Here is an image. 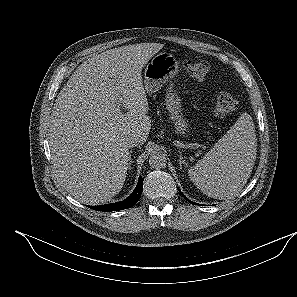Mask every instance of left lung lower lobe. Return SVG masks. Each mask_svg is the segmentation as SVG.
<instances>
[{"label":"left lung lower lobe","instance_id":"left-lung-lower-lobe-1","mask_svg":"<svg viewBox=\"0 0 297 297\" xmlns=\"http://www.w3.org/2000/svg\"><path fill=\"white\" fill-rule=\"evenodd\" d=\"M187 200H188V199H187ZM188 201H189L190 203H192V204H195V205L197 204V203L191 202L190 200H188Z\"/></svg>","mask_w":297,"mask_h":297}]
</instances>
